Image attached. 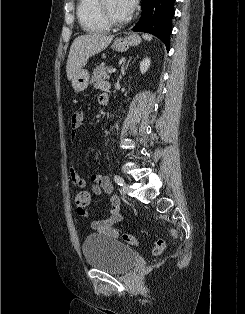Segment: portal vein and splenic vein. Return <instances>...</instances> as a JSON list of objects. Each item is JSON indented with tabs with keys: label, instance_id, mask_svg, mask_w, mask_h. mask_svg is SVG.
Returning a JSON list of instances; mask_svg holds the SVG:
<instances>
[{
	"label": "portal vein and splenic vein",
	"instance_id": "1",
	"mask_svg": "<svg viewBox=\"0 0 245 314\" xmlns=\"http://www.w3.org/2000/svg\"><path fill=\"white\" fill-rule=\"evenodd\" d=\"M116 72V68H112V69H110L109 71H108V73H115Z\"/></svg>",
	"mask_w": 245,
	"mask_h": 314
}]
</instances>
